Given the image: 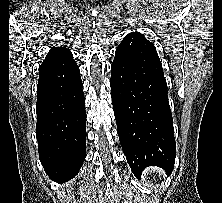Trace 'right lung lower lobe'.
<instances>
[{"label": "right lung lower lobe", "instance_id": "1", "mask_svg": "<svg viewBox=\"0 0 222 203\" xmlns=\"http://www.w3.org/2000/svg\"><path fill=\"white\" fill-rule=\"evenodd\" d=\"M79 67L72 60L42 63L37 86L39 158L58 183L73 178L86 155V113Z\"/></svg>", "mask_w": 222, "mask_h": 203}]
</instances>
